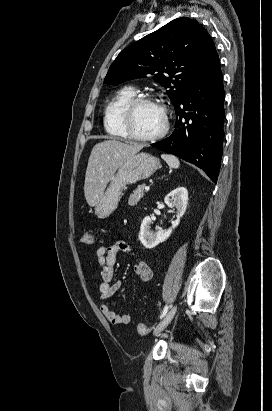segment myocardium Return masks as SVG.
<instances>
[{"label": "myocardium", "instance_id": "myocardium-1", "mask_svg": "<svg viewBox=\"0 0 272 411\" xmlns=\"http://www.w3.org/2000/svg\"><path fill=\"white\" fill-rule=\"evenodd\" d=\"M142 103H154L158 105L163 114L162 128L155 134L149 136H142L137 134L132 126V120L136 108ZM122 125L128 138L140 142H154L162 139L169 130V115L166 106L157 98L151 95H135L130 99L122 110Z\"/></svg>", "mask_w": 272, "mask_h": 411}]
</instances>
